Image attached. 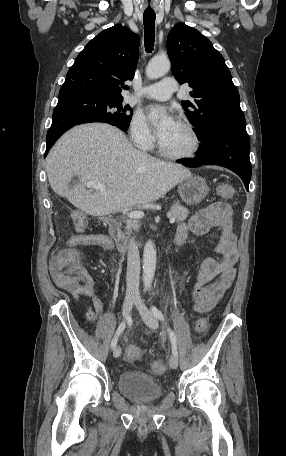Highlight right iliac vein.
Segmentation results:
<instances>
[{"instance_id": "1", "label": "right iliac vein", "mask_w": 286, "mask_h": 456, "mask_svg": "<svg viewBox=\"0 0 286 456\" xmlns=\"http://www.w3.org/2000/svg\"><path fill=\"white\" fill-rule=\"evenodd\" d=\"M136 302V298L133 296H127L124 300L122 313L123 317L127 318L131 312L133 305ZM113 355L115 358H118L121 355V347L118 345L114 348Z\"/></svg>"}]
</instances>
